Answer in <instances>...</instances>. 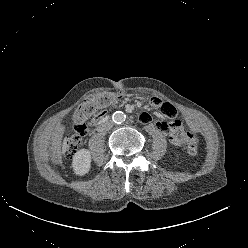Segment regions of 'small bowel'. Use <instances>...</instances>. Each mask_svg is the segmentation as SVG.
Listing matches in <instances>:
<instances>
[{"label":"small bowel","instance_id":"c3829d8e","mask_svg":"<svg viewBox=\"0 0 248 248\" xmlns=\"http://www.w3.org/2000/svg\"><path fill=\"white\" fill-rule=\"evenodd\" d=\"M151 106L159 112V118L156 120L157 128L161 129L168 136L169 142L176 147H182L187 143L197 139L198 131L192 122L190 124V131L185 132L183 125L179 120L168 124L167 121L173 120L177 114L178 109L171 102H165L157 97H152L150 100ZM109 113L108 109H104L92 117V121L96 122L97 119L106 116ZM142 123H149L151 117L147 112H142L139 116Z\"/></svg>","mask_w":248,"mask_h":248}]
</instances>
